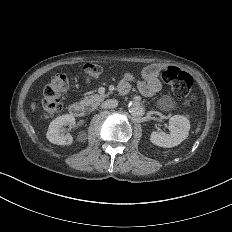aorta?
I'll use <instances>...</instances> for the list:
<instances>
[{"label":"aorta","instance_id":"762f6f07","mask_svg":"<svg viewBox=\"0 0 232 232\" xmlns=\"http://www.w3.org/2000/svg\"><path fill=\"white\" fill-rule=\"evenodd\" d=\"M129 113L133 117H139L144 114V108L138 101H132L128 104Z\"/></svg>","mask_w":232,"mask_h":232}]
</instances>
